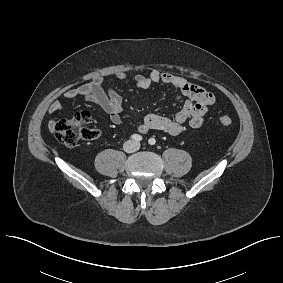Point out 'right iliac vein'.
<instances>
[{
    "mask_svg": "<svg viewBox=\"0 0 283 283\" xmlns=\"http://www.w3.org/2000/svg\"><path fill=\"white\" fill-rule=\"evenodd\" d=\"M133 148H134V144H133L132 142H127V143H125V145H124V149H125L126 151H131Z\"/></svg>",
    "mask_w": 283,
    "mask_h": 283,
    "instance_id": "obj_1",
    "label": "right iliac vein"
}]
</instances>
